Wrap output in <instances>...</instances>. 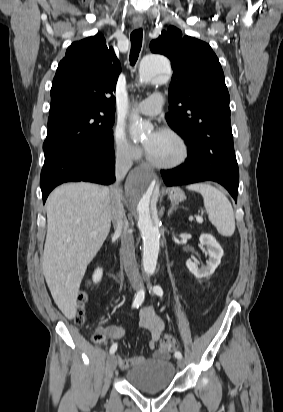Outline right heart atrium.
<instances>
[{"label": "right heart atrium", "mask_w": 283, "mask_h": 412, "mask_svg": "<svg viewBox=\"0 0 283 412\" xmlns=\"http://www.w3.org/2000/svg\"><path fill=\"white\" fill-rule=\"evenodd\" d=\"M112 146L115 156L127 163L136 161L142 154L140 146L132 142L119 126L112 131Z\"/></svg>", "instance_id": "1"}]
</instances>
